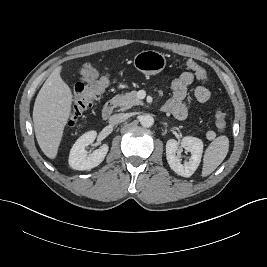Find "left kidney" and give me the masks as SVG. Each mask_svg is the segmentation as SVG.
Returning <instances> with one entry per match:
<instances>
[{
    "label": "left kidney",
    "instance_id": "left-kidney-1",
    "mask_svg": "<svg viewBox=\"0 0 267 267\" xmlns=\"http://www.w3.org/2000/svg\"><path fill=\"white\" fill-rule=\"evenodd\" d=\"M179 142L175 139H169L166 143V159L170 168L180 176L190 177L198 168L203 153V142L199 138L186 136L180 145L186 151L191 153V157L184 164L181 163V157L176 155Z\"/></svg>",
    "mask_w": 267,
    "mask_h": 267
}]
</instances>
